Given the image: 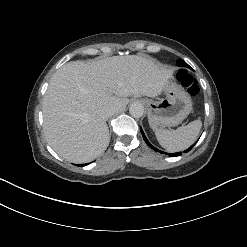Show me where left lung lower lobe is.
Returning <instances> with one entry per match:
<instances>
[{
	"label": "left lung lower lobe",
	"instance_id": "0a47b994",
	"mask_svg": "<svg viewBox=\"0 0 247 247\" xmlns=\"http://www.w3.org/2000/svg\"><path fill=\"white\" fill-rule=\"evenodd\" d=\"M140 130H141L142 136H143L145 142L147 143V145H148L149 147H151L152 149H155V148L149 143V141L147 140V138H146V136H145V134H144V132H143V130H142L141 127H140ZM193 146H194V144H193L188 150H185L184 152H187V151L191 150ZM155 151H159L160 153L168 154V153L162 152V151L157 150V149H155ZM181 154H182V152L169 153V156H179V155H181Z\"/></svg>",
	"mask_w": 247,
	"mask_h": 247
}]
</instances>
